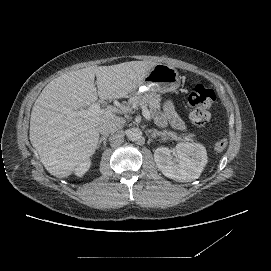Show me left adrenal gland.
Here are the masks:
<instances>
[{
  "label": "left adrenal gland",
  "mask_w": 271,
  "mask_h": 271,
  "mask_svg": "<svg viewBox=\"0 0 271 271\" xmlns=\"http://www.w3.org/2000/svg\"><path fill=\"white\" fill-rule=\"evenodd\" d=\"M162 134L161 133H158V132H154V133H151L150 134V136L152 137V138H156L157 136H161Z\"/></svg>",
  "instance_id": "1"
}]
</instances>
